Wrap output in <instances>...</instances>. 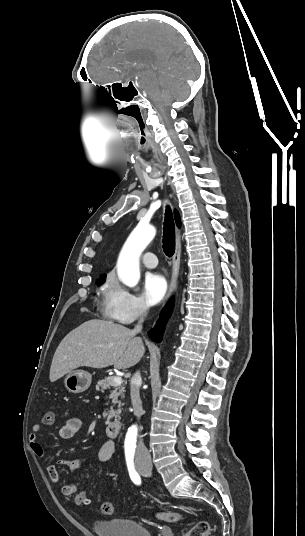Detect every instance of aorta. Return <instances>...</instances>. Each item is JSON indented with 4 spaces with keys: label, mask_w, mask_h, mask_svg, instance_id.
<instances>
[{
    "label": "aorta",
    "mask_w": 305,
    "mask_h": 536,
    "mask_svg": "<svg viewBox=\"0 0 305 536\" xmlns=\"http://www.w3.org/2000/svg\"><path fill=\"white\" fill-rule=\"evenodd\" d=\"M156 229L147 224H139L126 240L117 262L119 279L129 287H135L140 279L139 258L153 240Z\"/></svg>",
    "instance_id": "1"
}]
</instances>
